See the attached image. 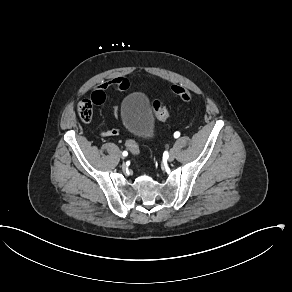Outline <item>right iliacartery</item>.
Here are the masks:
<instances>
[{"label": "right iliac artery", "mask_w": 292, "mask_h": 292, "mask_svg": "<svg viewBox=\"0 0 292 292\" xmlns=\"http://www.w3.org/2000/svg\"><path fill=\"white\" fill-rule=\"evenodd\" d=\"M122 155L123 156H127L128 155V152L127 151H123Z\"/></svg>", "instance_id": "82829eb1"}]
</instances>
